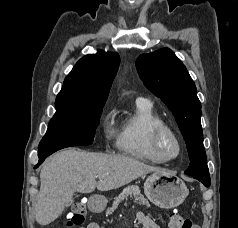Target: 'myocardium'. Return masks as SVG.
I'll list each match as a JSON object with an SVG mask.
<instances>
[{
	"label": "myocardium",
	"instance_id": "f54148a6",
	"mask_svg": "<svg viewBox=\"0 0 238 228\" xmlns=\"http://www.w3.org/2000/svg\"><path fill=\"white\" fill-rule=\"evenodd\" d=\"M164 137H169L173 140L177 147V152L173 156H166L162 151V141ZM150 146L152 151L156 156H158L162 161L168 162L177 159L183 150V145L178 134L173 128L165 123H161L154 127L150 137Z\"/></svg>",
	"mask_w": 238,
	"mask_h": 228
}]
</instances>
